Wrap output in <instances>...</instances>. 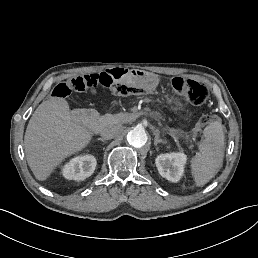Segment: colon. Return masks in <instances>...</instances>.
I'll return each mask as SVG.
<instances>
[{"mask_svg":"<svg viewBox=\"0 0 258 258\" xmlns=\"http://www.w3.org/2000/svg\"><path fill=\"white\" fill-rule=\"evenodd\" d=\"M99 86L108 87L119 96L142 95L147 93V90L136 81L109 84L103 80L101 74H89L77 76L57 84L53 89V96L63 98L68 96L72 91L84 92L90 89H97ZM172 87L178 94L195 105L203 104L209 95L204 84L188 78H174L172 80ZM216 120V116L206 115L201 117L199 124L203 126Z\"/></svg>","mask_w":258,"mask_h":258,"instance_id":"colon-1","label":"colon"}]
</instances>
